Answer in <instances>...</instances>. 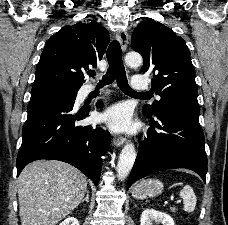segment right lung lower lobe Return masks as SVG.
Returning <instances> with one entry per match:
<instances>
[{
    "label": "right lung lower lobe",
    "mask_w": 228,
    "mask_h": 225,
    "mask_svg": "<svg viewBox=\"0 0 228 225\" xmlns=\"http://www.w3.org/2000/svg\"><path fill=\"white\" fill-rule=\"evenodd\" d=\"M75 98L56 97L29 103L17 156V176L30 162L52 159L82 171L97 186L110 134L98 125H78L90 108L76 111ZM102 106L101 102L97 103Z\"/></svg>",
    "instance_id": "98d812e1"
}]
</instances>
